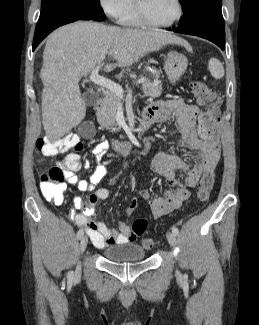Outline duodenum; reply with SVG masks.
<instances>
[{
	"mask_svg": "<svg viewBox=\"0 0 259 325\" xmlns=\"http://www.w3.org/2000/svg\"><path fill=\"white\" fill-rule=\"evenodd\" d=\"M102 106V100L99 99L95 102L94 104V109H99ZM153 124V119L148 115L144 114L141 119L140 127H139V132H138V140L136 142H130V141H112L111 146L112 148L122 154H128L130 153L136 144L140 143L145 135L147 134L148 130Z\"/></svg>",
	"mask_w": 259,
	"mask_h": 325,
	"instance_id": "duodenum-1",
	"label": "duodenum"
}]
</instances>
